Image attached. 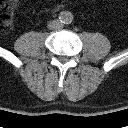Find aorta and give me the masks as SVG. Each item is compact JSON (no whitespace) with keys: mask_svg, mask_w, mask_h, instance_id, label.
<instances>
[{"mask_svg":"<svg viewBox=\"0 0 128 128\" xmlns=\"http://www.w3.org/2000/svg\"><path fill=\"white\" fill-rule=\"evenodd\" d=\"M60 20L65 24H69L73 20V14L69 11H63L60 13Z\"/></svg>","mask_w":128,"mask_h":128,"instance_id":"1","label":"aorta"}]
</instances>
